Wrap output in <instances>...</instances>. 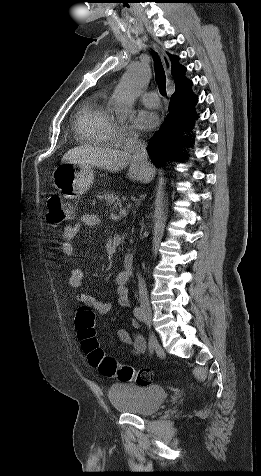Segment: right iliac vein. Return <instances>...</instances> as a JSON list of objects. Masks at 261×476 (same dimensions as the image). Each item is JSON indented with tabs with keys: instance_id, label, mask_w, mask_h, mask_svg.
<instances>
[{
	"instance_id": "63e3f726",
	"label": "right iliac vein",
	"mask_w": 261,
	"mask_h": 476,
	"mask_svg": "<svg viewBox=\"0 0 261 476\" xmlns=\"http://www.w3.org/2000/svg\"><path fill=\"white\" fill-rule=\"evenodd\" d=\"M145 319H146L147 323H149V324L152 322V313H151L150 310H145ZM152 339H154V338H152ZM154 341H155V339H154ZM154 344H155V342H154Z\"/></svg>"
}]
</instances>
